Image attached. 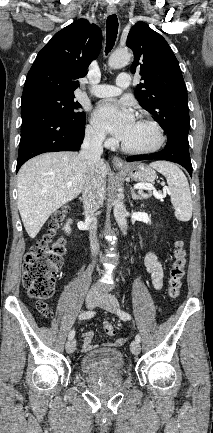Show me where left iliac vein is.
I'll list each match as a JSON object with an SVG mask.
<instances>
[{"label":"left iliac vein","instance_id":"obj_1","mask_svg":"<svg viewBox=\"0 0 213 433\" xmlns=\"http://www.w3.org/2000/svg\"><path fill=\"white\" fill-rule=\"evenodd\" d=\"M98 305L101 308H103L107 311H110L112 313L118 312V307H119L118 300L114 296H112L108 293L102 294L100 296V301H99ZM130 349H131V352L133 354L138 355L141 351V346H140L139 342L135 340V341L131 342Z\"/></svg>","mask_w":213,"mask_h":433}]
</instances>
